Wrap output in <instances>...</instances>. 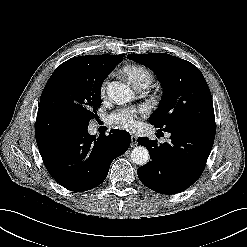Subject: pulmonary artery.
<instances>
[{
	"mask_svg": "<svg viewBox=\"0 0 247 247\" xmlns=\"http://www.w3.org/2000/svg\"><path fill=\"white\" fill-rule=\"evenodd\" d=\"M149 84H150L149 80H141V81L135 83L133 87L137 91H141V90L145 89Z\"/></svg>",
	"mask_w": 247,
	"mask_h": 247,
	"instance_id": "pulmonary-artery-1",
	"label": "pulmonary artery"
}]
</instances>
